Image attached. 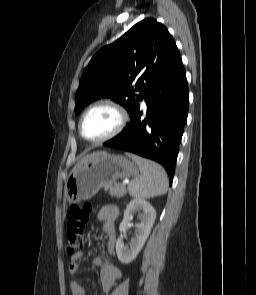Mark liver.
Here are the masks:
<instances>
[{
    "label": "liver",
    "instance_id": "1",
    "mask_svg": "<svg viewBox=\"0 0 256 295\" xmlns=\"http://www.w3.org/2000/svg\"><path fill=\"white\" fill-rule=\"evenodd\" d=\"M100 153H101V152H93V153H91V154H88V155L84 156V157H83V158H82V159H81V160L75 165L74 169H75L76 167H78L79 165L85 163L86 161L90 160L91 158L97 156V155L100 154ZM74 169H73V170H74Z\"/></svg>",
    "mask_w": 256,
    "mask_h": 295
}]
</instances>
